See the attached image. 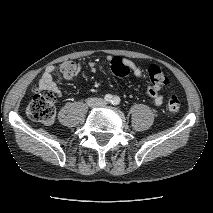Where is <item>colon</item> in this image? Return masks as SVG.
Instances as JSON below:
<instances>
[{"mask_svg": "<svg viewBox=\"0 0 213 213\" xmlns=\"http://www.w3.org/2000/svg\"><path fill=\"white\" fill-rule=\"evenodd\" d=\"M111 70L116 76L125 77L130 73V65L121 58H113ZM60 72L66 78H71L77 73V66L73 61H66L60 65ZM146 75L151 85L157 89L165 87L169 83V78L157 65H149L146 68ZM55 97L49 90L37 89L32 100L26 107V115L34 120L46 125L54 122L56 116ZM168 109L171 112H178L181 107L179 98L170 95L168 98Z\"/></svg>", "mask_w": 213, "mask_h": 213, "instance_id": "colon-1", "label": "colon"}]
</instances>
